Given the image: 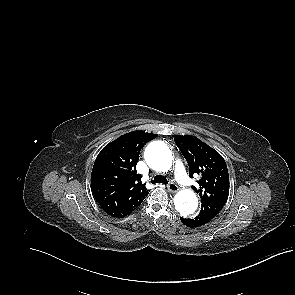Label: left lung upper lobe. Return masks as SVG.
<instances>
[{"mask_svg": "<svg viewBox=\"0 0 295 295\" xmlns=\"http://www.w3.org/2000/svg\"><path fill=\"white\" fill-rule=\"evenodd\" d=\"M175 143L189 166V176L200 175L193 190L201 197V212L218 213L229 195V174L224 158L206 143L190 135H176Z\"/></svg>", "mask_w": 295, "mask_h": 295, "instance_id": "5c2ea615", "label": "left lung upper lobe"}]
</instances>
